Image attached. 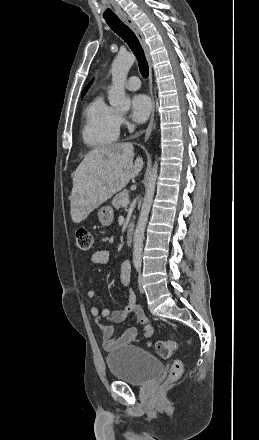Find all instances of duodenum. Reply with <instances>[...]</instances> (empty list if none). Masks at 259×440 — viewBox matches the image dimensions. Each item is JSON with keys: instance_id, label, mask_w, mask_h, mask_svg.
Returning a JSON list of instances; mask_svg holds the SVG:
<instances>
[{"instance_id": "1", "label": "duodenum", "mask_w": 259, "mask_h": 440, "mask_svg": "<svg viewBox=\"0 0 259 440\" xmlns=\"http://www.w3.org/2000/svg\"><path fill=\"white\" fill-rule=\"evenodd\" d=\"M133 233H134L133 227L129 226L128 229H127V232H126V243H127V245H131L132 244Z\"/></svg>"}]
</instances>
